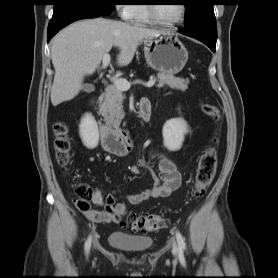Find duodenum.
<instances>
[{
    "label": "duodenum",
    "instance_id": "duodenum-1",
    "mask_svg": "<svg viewBox=\"0 0 278 278\" xmlns=\"http://www.w3.org/2000/svg\"><path fill=\"white\" fill-rule=\"evenodd\" d=\"M137 116L148 121L151 117V105L148 99H141L136 108ZM99 133L102 146L105 150L116 154L125 155L130 149V136L128 132L121 128H110L104 124H99Z\"/></svg>",
    "mask_w": 278,
    "mask_h": 278
}]
</instances>
